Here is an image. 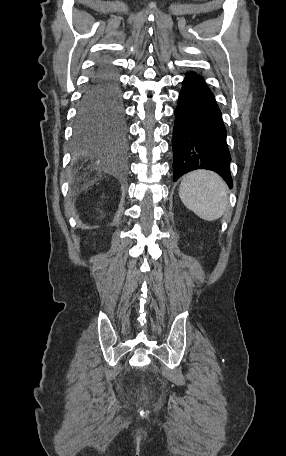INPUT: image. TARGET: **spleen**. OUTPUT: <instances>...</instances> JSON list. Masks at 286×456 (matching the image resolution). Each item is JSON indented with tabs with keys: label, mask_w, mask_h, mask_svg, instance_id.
<instances>
[{
	"label": "spleen",
	"mask_w": 286,
	"mask_h": 456,
	"mask_svg": "<svg viewBox=\"0 0 286 456\" xmlns=\"http://www.w3.org/2000/svg\"><path fill=\"white\" fill-rule=\"evenodd\" d=\"M183 204L198 217L214 221L227 211L228 187L216 173L197 170L186 174L179 187Z\"/></svg>",
	"instance_id": "3e777b00"
}]
</instances>
